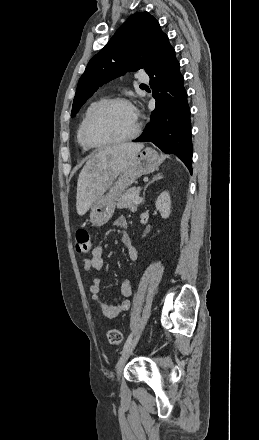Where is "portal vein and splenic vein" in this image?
I'll return each mask as SVG.
<instances>
[{"label":"portal vein and splenic vein","instance_id":"1","mask_svg":"<svg viewBox=\"0 0 259 440\" xmlns=\"http://www.w3.org/2000/svg\"><path fill=\"white\" fill-rule=\"evenodd\" d=\"M141 201H142V198H140V197L138 196V197H136L134 203H135V204H140Z\"/></svg>","mask_w":259,"mask_h":440}]
</instances>
